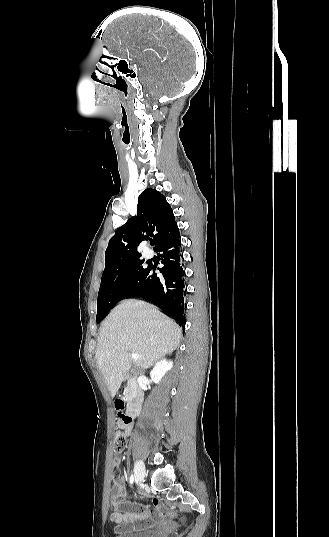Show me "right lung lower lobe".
I'll use <instances>...</instances> for the list:
<instances>
[{"mask_svg":"<svg viewBox=\"0 0 329 537\" xmlns=\"http://www.w3.org/2000/svg\"><path fill=\"white\" fill-rule=\"evenodd\" d=\"M180 248L181 241L178 229L155 249L157 252H161L159 257L164 266L158 269L163 276L157 277L156 267L148 265L143 277L127 297L144 298L160 306L165 314L183 325L186 308L184 298L187 291L183 254Z\"/></svg>","mask_w":329,"mask_h":537,"instance_id":"1","label":"right lung lower lobe"}]
</instances>
